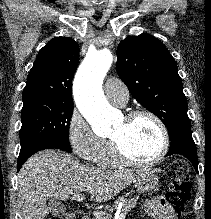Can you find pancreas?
Wrapping results in <instances>:
<instances>
[{
  "instance_id": "pancreas-1",
  "label": "pancreas",
  "mask_w": 211,
  "mask_h": 219,
  "mask_svg": "<svg viewBox=\"0 0 211 219\" xmlns=\"http://www.w3.org/2000/svg\"><path fill=\"white\" fill-rule=\"evenodd\" d=\"M118 203H122L123 212L128 213L129 211H131L132 208L136 207L137 199L136 198L127 199L125 197H121L116 202V204ZM94 219H108V216L104 213H100Z\"/></svg>"
}]
</instances>
